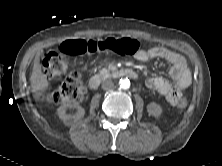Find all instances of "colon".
I'll return each mask as SVG.
<instances>
[{"mask_svg": "<svg viewBox=\"0 0 222 166\" xmlns=\"http://www.w3.org/2000/svg\"><path fill=\"white\" fill-rule=\"evenodd\" d=\"M140 48V42L132 38H105L100 40H68L61 46L60 52L49 53L42 61L44 73L48 78H57L66 74L62 84L48 96L53 105L67 101L80 99L84 93V87L80 75L69 70L66 57L80 56L95 52H112L118 55L134 54ZM187 98L181 96L177 107L184 109L187 106Z\"/></svg>", "mask_w": 222, "mask_h": 166, "instance_id": "1", "label": "colon"}]
</instances>
